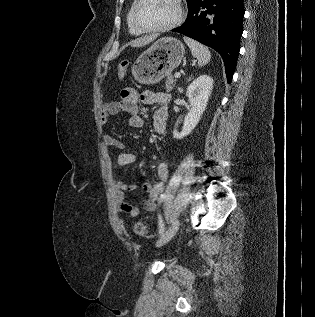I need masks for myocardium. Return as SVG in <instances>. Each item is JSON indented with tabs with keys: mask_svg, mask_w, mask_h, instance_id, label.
Wrapping results in <instances>:
<instances>
[{
	"mask_svg": "<svg viewBox=\"0 0 315 317\" xmlns=\"http://www.w3.org/2000/svg\"><path fill=\"white\" fill-rule=\"evenodd\" d=\"M143 2V0H135L133 7H132V12H131V22L133 26L135 27L136 30H138L141 33H155V32H165L168 30H171L178 25L182 23L184 20L185 16V11H184V6L182 0H175L176 5H177V15L173 21L170 23L159 26V27H150V28H145L142 27L138 24L137 18H136V13L139 5Z\"/></svg>",
	"mask_w": 315,
	"mask_h": 317,
	"instance_id": "myocardium-1",
	"label": "myocardium"
}]
</instances>
